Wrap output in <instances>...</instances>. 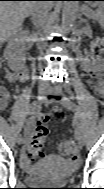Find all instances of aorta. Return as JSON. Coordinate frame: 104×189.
Masks as SVG:
<instances>
[{
	"instance_id": "762f6f07",
	"label": "aorta",
	"mask_w": 104,
	"mask_h": 189,
	"mask_svg": "<svg viewBox=\"0 0 104 189\" xmlns=\"http://www.w3.org/2000/svg\"><path fill=\"white\" fill-rule=\"evenodd\" d=\"M78 1H63L62 3V23L61 29L66 31L73 27L77 11H78Z\"/></svg>"
}]
</instances>
